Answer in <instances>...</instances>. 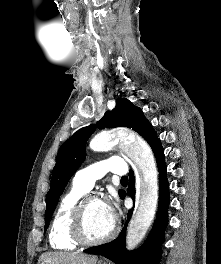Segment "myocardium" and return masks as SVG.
I'll list each match as a JSON object with an SVG mask.
<instances>
[{
  "label": "myocardium",
  "mask_w": 221,
  "mask_h": 264,
  "mask_svg": "<svg viewBox=\"0 0 221 264\" xmlns=\"http://www.w3.org/2000/svg\"><path fill=\"white\" fill-rule=\"evenodd\" d=\"M93 200H98L103 202V200L97 195L85 194L76 203L71 213L70 234L74 239V241H76L80 245L95 246V245L104 244L110 241L118 231L117 222L116 220H114L111 230L104 237L99 239H90L86 235L85 227H84L85 210L87 204Z\"/></svg>",
  "instance_id": "obj_1"
}]
</instances>
